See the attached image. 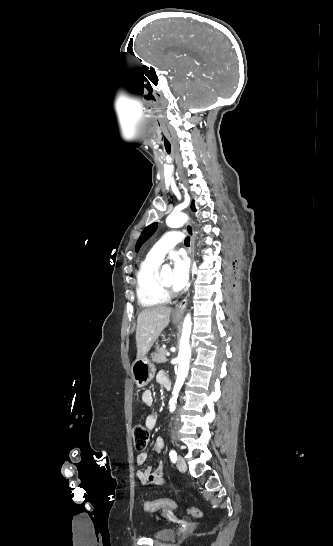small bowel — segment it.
<instances>
[{"mask_svg": "<svg viewBox=\"0 0 333 546\" xmlns=\"http://www.w3.org/2000/svg\"><path fill=\"white\" fill-rule=\"evenodd\" d=\"M157 380L163 386L169 380L168 376L164 372H159L157 375ZM142 402L146 406H152L154 404V396L150 390H146L142 393ZM157 424V415L155 413H149L145 418V426L148 429H154ZM164 447V440L162 437H157L153 450L156 453H159ZM148 460V454L145 452L138 453L136 456V463L140 466H144ZM165 470V465L163 462H160L156 468L151 466H144L137 472V478L142 485L154 484L157 486L166 485V480L163 476Z\"/></svg>", "mask_w": 333, "mask_h": 546, "instance_id": "1", "label": "small bowel"}]
</instances>
